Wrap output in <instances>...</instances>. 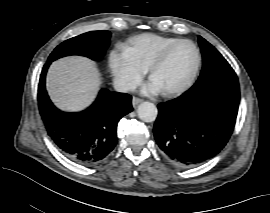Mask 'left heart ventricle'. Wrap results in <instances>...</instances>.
<instances>
[{
  "instance_id": "obj_1",
  "label": "left heart ventricle",
  "mask_w": 270,
  "mask_h": 213,
  "mask_svg": "<svg viewBox=\"0 0 270 213\" xmlns=\"http://www.w3.org/2000/svg\"><path fill=\"white\" fill-rule=\"evenodd\" d=\"M196 65V53L189 44L175 47L157 67L152 77L161 91L182 86L191 76Z\"/></svg>"
}]
</instances>
